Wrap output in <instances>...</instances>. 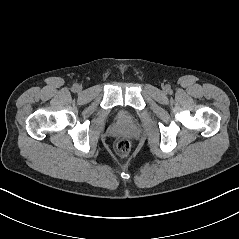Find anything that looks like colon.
<instances>
[{"instance_id": "colon-1", "label": "colon", "mask_w": 239, "mask_h": 239, "mask_svg": "<svg viewBox=\"0 0 239 239\" xmlns=\"http://www.w3.org/2000/svg\"><path fill=\"white\" fill-rule=\"evenodd\" d=\"M130 149V143L127 139L119 138L114 143V150L119 155H125Z\"/></svg>"}]
</instances>
